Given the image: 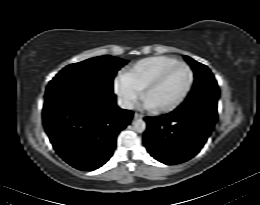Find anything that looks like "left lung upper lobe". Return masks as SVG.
<instances>
[{
    "label": "left lung upper lobe",
    "mask_w": 260,
    "mask_h": 205,
    "mask_svg": "<svg viewBox=\"0 0 260 205\" xmlns=\"http://www.w3.org/2000/svg\"><path fill=\"white\" fill-rule=\"evenodd\" d=\"M195 74V81L187 99L180 107L203 106L217 113L219 90L213 74L207 66L184 56Z\"/></svg>",
    "instance_id": "obj_1"
}]
</instances>
